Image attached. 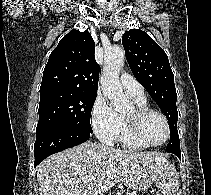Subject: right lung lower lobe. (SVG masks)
<instances>
[{
    "mask_svg": "<svg viewBox=\"0 0 211 195\" xmlns=\"http://www.w3.org/2000/svg\"><path fill=\"white\" fill-rule=\"evenodd\" d=\"M90 136L89 131L78 128L57 127L42 131L34 144V166L54 153L86 142Z\"/></svg>",
    "mask_w": 211,
    "mask_h": 195,
    "instance_id": "1",
    "label": "right lung lower lobe"
}]
</instances>
